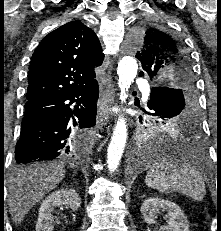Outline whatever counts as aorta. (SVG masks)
<instances>
[{
	"instance_id": "aorta-1",
	"label": "aorta",
	"mask_w": 221,
	"mask_h": 231,
	"mask_svg": "<svg viewBox=\"0 0 221 231\" xmlns=\"http://www.w3.org/2000/svg\"><path fill=\"white\" fill-rule=\"evenodd\" d=\"M138 64L134 57H123L117 68L118 86L121 91L120 99L126 102L127 92L137 75ZM127 140V125L124 117H119L115 124L110 144L107 150V168L112 173L120 163ZM143 162H148L144 161Z\"/></svg>"
}]
</instances>
